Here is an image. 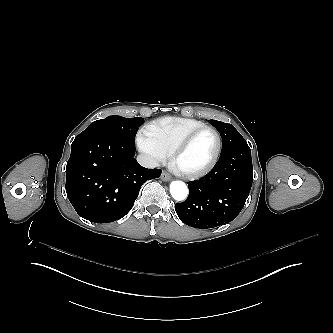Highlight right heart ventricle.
Returning a JSON list of instances; mask_svg holds the SVG:
<instances>
[{
  "mask_svg": "<svg viewBox=\"0 0 333 333\" xmlns=\"http://www.w3.org/2000/svg\"><path fill=\"white\" fill-rule=\"evenodd\" d=\"M204 125V122L192 118L167 117L159 119L147 123L141 128L138 142L155 149L166 157L185 134Z\"/></svg>",
  "mask_w": 333,
  "mask_h": 333,
  "instance_id": "obj_1",
  "label": "right heart ventricle"
}]
</instances>
